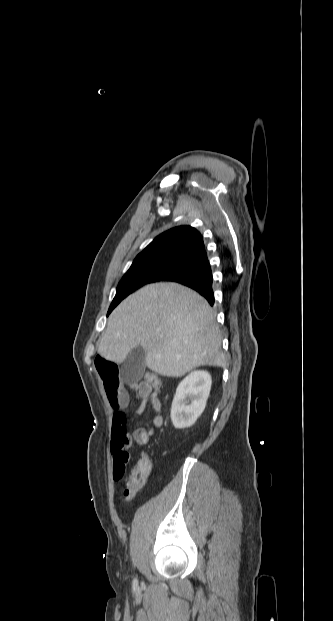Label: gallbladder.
I'll use <instances>...</instances> for the list:
<instances>
[{
  "label": "gallbladder",
  "mask_w": 333,
  "mask_h": 621,
  "mask_svg": "<svg viewBox=\"0 0 333 621\" xmlns=\"http://www.w3.org/2000/svg\"><path fill=\"white\" fill-rule=\"evenodd\" d=\"M145 371V352L141 346L132 349L123 362L121 376L125 383L138 382Z\"/></svg>",
  "instance_id": "obj_1"
}]
</instances>
